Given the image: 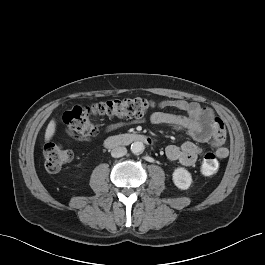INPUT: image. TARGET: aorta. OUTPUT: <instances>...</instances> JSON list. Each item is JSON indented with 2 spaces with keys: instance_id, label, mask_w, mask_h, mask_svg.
Listing matches in <instances>:
<instances>
[{
  "instance_id": "aorta-1",
  "label": "aorta",
  "mask_w": 265,
  "mask_h": 265,
  "mask_svg": "<svg viewBox=\"0 0 265 265\" xmlns=\"http://www.w3.org/2000/svg\"><path fill=\"white\" fill-rule=\"evenodd\" d=\"M131 152L141 154L144 151V144L141 141H136L131 144Z\"/></svg>"
}]
</instances>
